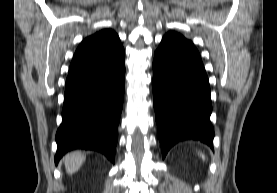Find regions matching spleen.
Returning a JSON list of instances; mask_svg holds the SVG:
<instances>
[{"label": "spleen", "instance_id": "1", "mask_svg": "<svg viewBox=\"0 0 277 193\" xmlns=\"http://www.w3.org/2000/svg\"><path fill=\"white\" fill-rule=\"evenodd\" d=\"M200 156L202 157L203 160H205V155L200 153Z\"/></svg>", "mask_w": 277, "mask_h": 193}]
</instances>
